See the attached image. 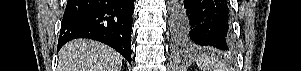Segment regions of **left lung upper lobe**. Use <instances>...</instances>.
<instances>
[{
	"mask_svg": "<svg viewBox=\"0 0 301 71\" xmlns=\"http://www.w3.org/2000/svg\"><path fill=\"white\" fill-rule=\"evenodd\" d=\"M172 36H173L174 39L176 38L175 35L172 34Z\"/></svg>",
	"mask_w": 301,
	"mask_h": 71,
	"instance_id": "obj_1",
	"label": "left lung upper lobe"
}]
</instances>
